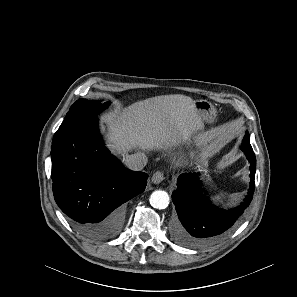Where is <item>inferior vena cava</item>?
I'll return each mask as SVG.
<instances>
[{
    "mask_svg": "<svg viewBox=\"0 0 297 297\" xmlns=\"http://www.w3.org/2000/svg\"><path fill=\"white\" fill-rule=\"evenodd\" d=\"M124 161L130 170L140 171L146 166L148 158L144 153L138 152L128 155Z\"/></svg>",
    "mask_w": 297,
    "mask_h": 297,
    "instance_id": "602c4592",
    "label": "inferior vena cava"
}]
</instances>
